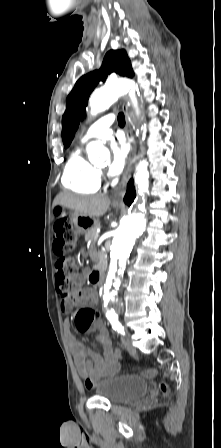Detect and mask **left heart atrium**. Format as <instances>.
I'll use <instances>...</instances> for the list:
<instances>
[{
	"label": "left heart atrium",
	"instance_id": "left-heart-atrium-1",
	"mask_svg": "<svg viewBox=\"0 0 221 448\" xmlns=\"http://www.w3.org/2000/svg\"><path fill=\"white\" fill-rule=\"evenodd\" d=\"M111 162L108 167V172L111 176L119 175L126 163L127 150L123 145L112 144L111 145Z\"/></svg>",
	"mask_w": 221,
	"mask_h": 448
}]
</instances>
